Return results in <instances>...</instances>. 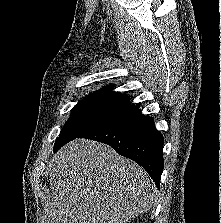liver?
Instances as JSON below:
<instances>
[{
  "label": "liver",
  "instance_id": "1",
  "mask_svg": "<svg viewBox=\"0 0 221 223\" xmlns=\"http://www.w3.org/2000/svg\"><path fill=\"white\" fill-rule=\"evenodd\" d=\"M49 167L46 223H127L150 210L157 198L145 170L103 143L71 141Z\"/></svg>",
  "mask_w": 221,
  "mask_h": 223
}]
</instances>
